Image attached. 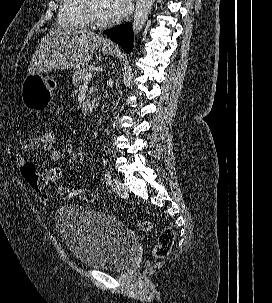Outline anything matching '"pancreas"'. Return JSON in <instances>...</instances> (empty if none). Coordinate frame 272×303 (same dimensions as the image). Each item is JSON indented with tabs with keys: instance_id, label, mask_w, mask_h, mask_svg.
Returning <instances> with one entry per match:
<instances>
[{
	"instance_id": "pancreas-1",
	"label": "pancreas",
	"mask_w": 272,
	"mask_h": 303,
	"mask_svg": "<svg viewBox=\"0 0 272 303\" xmlns=\"http://www.w3.org/2000/svg\"><path fill=\"white\" fill-rule=\"evenodd\" d=\"M91 72L90 66H83L76 69L72 77V82L75 86H79L84 77Z\"/></svg>"
}]
</instances>
